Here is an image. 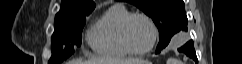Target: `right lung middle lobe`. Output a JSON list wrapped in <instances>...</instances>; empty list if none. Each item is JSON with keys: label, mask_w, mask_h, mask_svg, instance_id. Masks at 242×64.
Masks as SVG:
<instances>
[{"label": "right lung middle lobe", "mask_w": 242, "mask_h": 64, "mask_svg": "<svg viewBox=\"0 0 242 64\" xmlns=\"http://www.w3.org/2000/svg\"><path fill=\"white\" fill-rule=\"evenodd\" d=\"M89 14L72 20L55 22V31L52 35V57L48 64H60L74 53L73 45H81L85 17ZM65 44L70 45L63 48Z\"/></svg>", "instance_id": "dd1d6c3e"}]
</instances>
